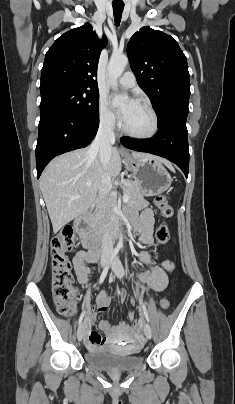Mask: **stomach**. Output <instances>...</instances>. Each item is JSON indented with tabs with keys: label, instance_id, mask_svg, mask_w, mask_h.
Returning a JSON list of instances; mask_svg holds the SVG:
<instances>
[{
	"label": "stomach",
	"instance_id": "1",
	"mask_svg": "<svg viewBox=\"0 0 235 404\" xmlns=\"http://www.w3.org/2000/svg\"><path fill=\"white\" fill-rule=\"evenodd\" d=\"M125 162L132 171L135 181L142 186L144 195H159L170 187L172 178L163 162L157 157L152 155L141 158L126 156Z\"/></svg>",
	"mask_w": 235,
	"mask_h": 404
}]
</instances>
